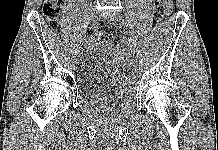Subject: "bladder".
<instances>
[{"instance_id": "bladder-1", "label": "bladder", "mask_w": 218, "mask_h": 150, "mask_svg": "<svg viewBox=\"0 0 218 150\" xmlns=\"http://www.w3.org/2000/svg\"><path fill=\"white\" fill-rule=\"evenodd\" d=\"M121 72L113 60L110 48L92 45L79 71L78 79L83 92L92 97H105L113 90L122 98L124 89L119 85Z\"/></svg>"}]
</instances>
